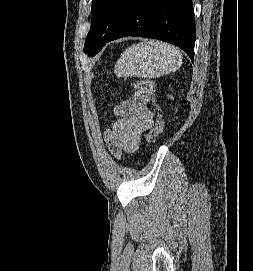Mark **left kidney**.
I'll list each match as a JSON object with an SVG mask.
<instances>
[{"mask_svg": "<svg viewBox=\"0 0 253 271\" xmlns=\"http://www.w3.org/2000/svg\"><path fill=\"white\" fill-rule=\"evenodd\" d=\"M169 98L173 99V96H169Z\"/></svg>", "mask_w": 253, "mask_h": 271, "instance_id": "5707ae66", "label": "left kidney"}]
</instances>
